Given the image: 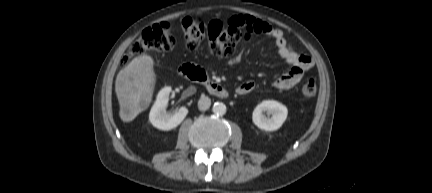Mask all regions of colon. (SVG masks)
I'll return each instance as SVG.
<instances>
[{
  "mask_svg": "<svg viewBox=\"0 0 432 193\" xmlns=\"http://www.w3.org/2000/svg\"><path fill=\"white\" fill-rule=\"evenodd\" d=\"M182 30L188 50H196L203 41H206L211 54L218 57L232 55L241 39L239 26L224 24L217 20L206 23L200 18L187 17L182 21ZM176 44L177 40L170 33L166 23L154 24L138 36L124 55L122 64H127L131 58L147 51H170ZM316 92L317 84L314 79L307 80L301 87L303 98H312Z\"/></svg>",
  "mask_w": 432,
  "mask_h": 193,
  "instance_id": "1",
  "label": "colon"
}]
</instances>
